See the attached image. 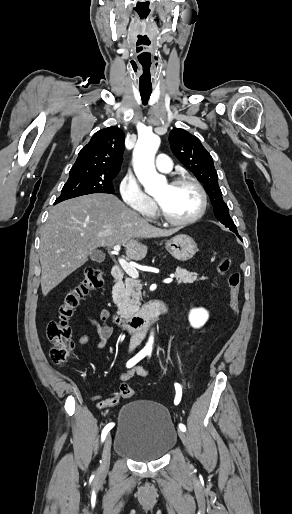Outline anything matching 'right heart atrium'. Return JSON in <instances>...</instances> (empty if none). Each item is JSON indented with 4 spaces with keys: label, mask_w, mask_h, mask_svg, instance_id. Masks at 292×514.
<instances>
[{
    "label": "right heart atrium",
    "mask_w": 292,
    "mask_h": 514,
    "mask_svg": "<svg viewBox=\"0 0 292 514\" xmlns=\"http://www.w3.org/2000/svg\"><path fill=\"white\" fill-rule=\"evenodd\" d=\"M119 194L123 202L131 209H142L143 214L152 209V202L144 192L140 182L131 171H126L119 185Z\"/></svg>",
    "instance_id": "obj_1"
}]
</instances>
